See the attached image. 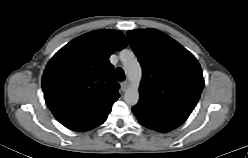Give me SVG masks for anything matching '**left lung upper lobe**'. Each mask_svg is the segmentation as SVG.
<instances>
[{
    "instance_id": "5c2ea615",
    "label": "left lung upper lobe",
    "mask_w": 248,
    "mask_h": 158,
    "mask_svg": "<svg viewBox=\"0 0 248 158\" xmlns=\"http://www.w3.org/2000/svg\"><path fill=\"white\" fill-rule=\"evenodd\" d=\"M142 66L140 100L132 110L152 129L165 133L180 126L197 104L204 86L196 58L156 29L128 31Z\"/></svg>"
}]
</instances>
